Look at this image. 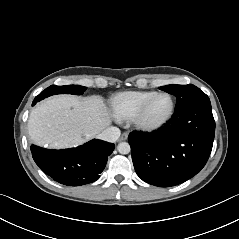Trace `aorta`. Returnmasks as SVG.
I'll use <instances>...</instances> for the list:
<instances>
[{"label": "aorta", "instance_id": "obj_1", "mask_svg": "<svg viewBox=\"0 0 239 239\" xmlns=\"http://www.w3.org/2000/svg\"><path fill=\"white\" fill-rule=\"evenodd\" d=\"M117 149L120 154H128L131 151L130 145L127 142L119 143Z\"/></svg>", "mask_w": 239, "mask_h": 239}]
</instances>
